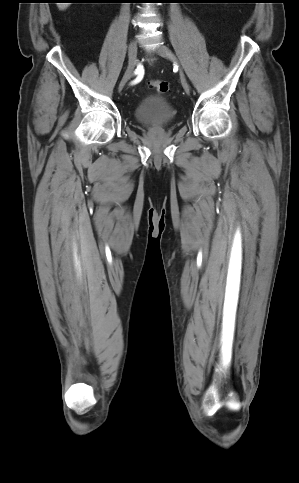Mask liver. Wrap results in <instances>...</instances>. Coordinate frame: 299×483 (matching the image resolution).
I'll list each match as a JSON object with an SVG mask.
<instances>
[{"label":"liver","mask_w":299,"mask_h":483,"mask_svg":"<svg viewBox=\"0 0 299 483\" xmlns=\"http://www.w3.org/2000/svg\"><path fill=\"white\" fill-rule=\"evenodd\" d=\"M69 4H70V3H57L58 8H59L60 10H64V9H66V8L68 7V5H69Z\"/></svg>","instance_id":"obj_1"}]
</instances>
